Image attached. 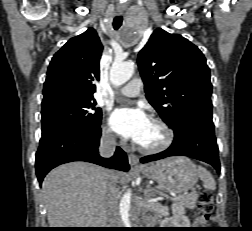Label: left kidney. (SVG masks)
<instances>
[{
    "label": "left kidney",
    "mask_w": 252,
    "mask_h": 231,
    "mask_svg": "<svg viewBox=\"0 0 252 231\" xmlns=\"http://www.w3.org/2000/svg\"><path fill=\"white\" fill-rule=\"evenodd\" d=\"M173 217L165 221L172 228H189L190 220L185 216V209L179 204L172 205Z\"/></svg>",
    "instance_id": "obj_1"
}]
</instances>
